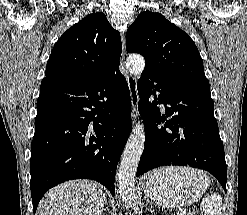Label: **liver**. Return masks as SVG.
<instances>
[{"label":"liver","mask_w":247,"mask_h":215,"mask_svg":"<svg viewBox=\"0 0 247 215\" xmlns=\"http://www.w3.org/2000/svg\"><path fill=\"white\" fill-rule=\"evenodd\" d=\"M105 204L99 184L73 180L51 189L40 201L38 215H102Z\"/></svg>","instance_id":"6515ba94"}]
</instances>
